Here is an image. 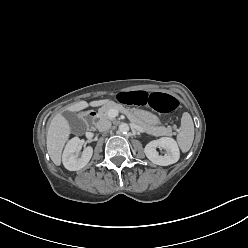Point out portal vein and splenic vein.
Instances as JSON below:
<instances>
[{"mask_svg": "<svg viewBox=\"0 0 248 248\" xmlns=\"http://www.w3.org/2000/svg\"><path fill=\"white\" fill-rule=\"evenodd\" d=\"M119 111L115 109H110L108 115L110 118H115L118 115Z\"/></svg>", "mask_w": 248, "mask_h": 248, "instance_id": "obj_1", "label": "portal vein and splenic vein"}]
</instances>
